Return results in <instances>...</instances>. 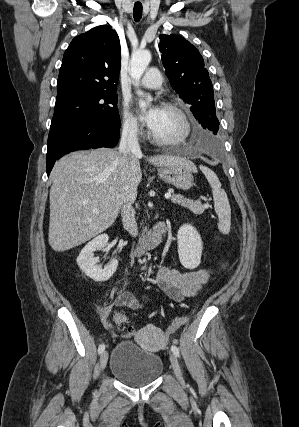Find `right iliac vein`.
I'll list each match as a JSON object with an SVG mask.
<instances>
[{
    "label": "right iliac vein",
    "instance_id": "right-iliac-vein-1",
    "mask_svg": "<svg viewBox=\"0 0 299 427\" xmlns=\"http://www.w3.org/2000/svg\"><path fill=\"white\" fill-rule=\"evenodd\" d=\"M107 361H108V352L104 351V352H102V354L100 356V368H101V370L105 369Z\"/></svg>",
    "mask_w": 299,
    "mask_h": 427
}]
</instances>
